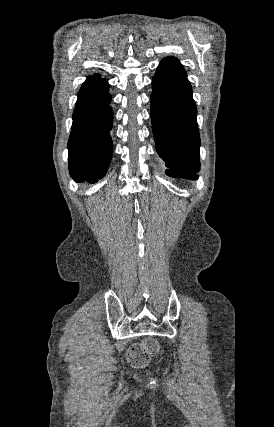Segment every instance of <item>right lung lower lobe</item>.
Returning a JSON list of instances; mask_svg holds the SVG:
<instances>
[{
	"label": "right lung lower lobe",
	"mask_w": 274,
	"mask_h": 427,
	"mask_svg": "<svg viewBox=\"0 0 274 427\" xmlns=\"http://www.w3.org/2000/svg\"><path fill=\"white\" fill-rule=\"evenodd\" d=\"M108 90L106 80L94 74L87 77L78 93L68 142L69 171L76 182H97L108 169L113 121Z\"/></svg>",
	"instance_id": "obj_1"
}]
</instances>
